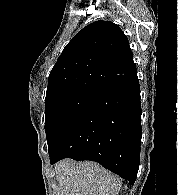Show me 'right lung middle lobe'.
<instances>
[{
    "mask_svg": "<svg viewBox=\"0 0 178 195\" xmlns=\"http://www.w3.org/2000/svg\"><path fill=\"white\" fill-rule=\"evenodd\" d=\"M97 93L90 90L71 91L45 101V131L49 155L77 125Z\"/></svg>",
    "mask_w": 178,
    "mask_h": 195,
    "instance_id": "right-lung-middle-lobe-1",
    "label": "right lung middle lobe"
}]
</instances>
